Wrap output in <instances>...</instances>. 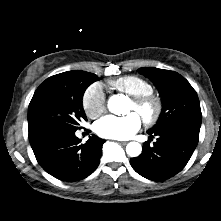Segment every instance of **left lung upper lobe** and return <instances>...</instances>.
<instances>
[{
  "instance_id": "1",
  "label": "left lung upper lobe",
  "mask_w": 221,
  "mask_h": 221,
  "mask_svg": "<svg viewBox=\"0 0 221 221\" xmlns=\"http://www.w3.org/2000/svg\"><path fill=\"white\" fill-rule=\"evenodd\" d=\"M138 72L150 78L162 99V112L157 124L149 131L183 121L201 126L202 113L196 91L179 73L154 67L139 68Z\"/></svg>"
}]
</instances>
